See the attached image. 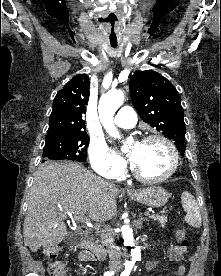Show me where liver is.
<instances>
[{"label":"liver","instance_id":"6515ba94","mask_svg":"<svg viewBox=\"0 0 221 276\" xmlns=\"http://www.w3.org/2000/svg\"><path fill=\"white\" fill-rule=\"evenodd\" d=\"M120 190L75 162H47L34 173L23 235L32 252L51 250L65 238L67 215L87 213L105 222L117 211Z\"/></svg>","mask_w":221,"mask_h":276}]
</instances>
